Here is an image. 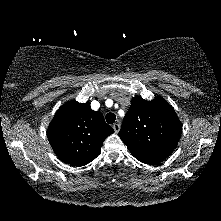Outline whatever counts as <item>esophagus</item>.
I'll return each mask as SVG.
<instances>
[{"mask_svg": "<svg viewBox=\"0 0 221 221\" xmlns=\"http://www.w3.org/2000/svg\"><path fill=\"white\" fill-rule=\"evenodd\" d=\"M112 128L114 129L115 133H118L120 130V124L119 123H114L112 125Z\"/></svg>", "mask_w": 221, "mask_h": 221, "instance_id": "34e87169", "label": "esophagus"}]
</instances>
